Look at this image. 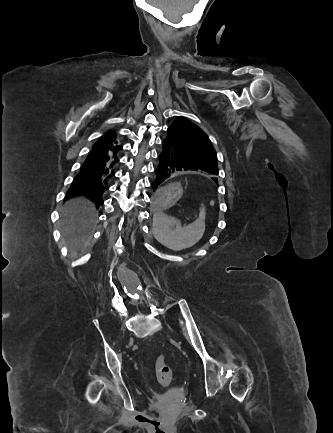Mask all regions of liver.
Wrapping results in <instances>:
<instances>
[{
  "instance_id": "liver-1",
  "label": "liver",
  "mask_w": 333,
  "mask_h": 433,
  "mask_svg": "<svg viewBox=\"0 0 333 433\" xmlns=\"http://www.w3.org/2000/svg\"><path fill=\"white\" fill-rule=\"evenodd\" d=\"M95 204L84 197L72 198L67 201L62 211V234L67 239L70 250L82 248L88 242L89 235L97 222Z\"/></svg>"
}]
</instances>
